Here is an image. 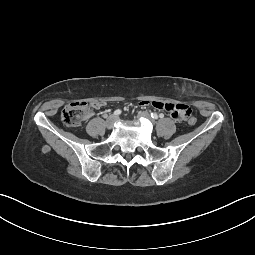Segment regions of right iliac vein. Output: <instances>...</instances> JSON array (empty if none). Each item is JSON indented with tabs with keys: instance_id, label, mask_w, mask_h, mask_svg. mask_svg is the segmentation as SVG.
Wrapping results in <instances>:
<instances>
[{
	"instance_id": "1",
	"label": "right iliac vein",
	"mask_w": 255,
	"mask_h": 255,
	"mask_svg": "<svg viewBox=\"0 0 255 255\" xmlns=\"http://www.w3.org/2000/svg\"><path fill=\"white\" fill-rule=\"evenodd\" d=\"M116 121H117V116H115V115H110V116L107 118V120H106V127H107L108 129L113 128V126H114V124H115Z\"/></svg>"
}]
</instances>
